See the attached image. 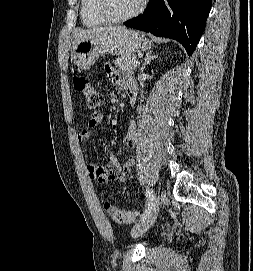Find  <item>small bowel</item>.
I'll return each instance as SVG.
<instances>
[{"label": "small bowel", "instance_id": "1", "mask_svg": "<svg viewBox=\"0 0 253 271\" xmlns=\"http://www.w3.org/2000/svg\"><path fill=\"white\" fill-rule=\"evenodd\" d=\"M105 71L114 84L121 86L128 94L136 96L138 89L136 82L131 76L117 72L110 65H106ZM103 121L104 114L102 112L93 113L84 129L75 133L76 140L80 143L88 140L93 132L101 126ZM136 132V123L135 121H131L123 138V144L125 146L135 148ZM110 160L111 162L108 166H98L93 163L87 164L89 177L99 183L114 180L120 182L125 181L134 165V160L129 158L124 163H120L113 154H110Z\"/></svg>", "mask_w": 253, "mask_h": 271}]
</instances>
